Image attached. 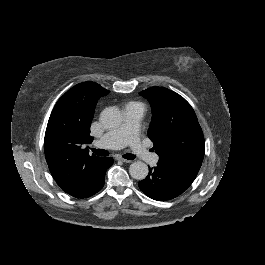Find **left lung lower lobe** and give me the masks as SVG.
Listing matches in <instances>:
<instances>
[{"label": "left lung lower lobe", "instance_id": "1", "mask_svg": "<svg viewBox=\"0 0 265 265\" xmlns=\"http://www.w3.org/2000/svg\"><path fill=\"white\" fill-rule=\"evenodd\" d=\"M199 169L166 165L158 162L149 168L148 176L138 183L150 198L158 201L173 199L183 193L194 181Z\"/></svg>", "mask_w": 265, "mask_h": 265}]
</instances>
